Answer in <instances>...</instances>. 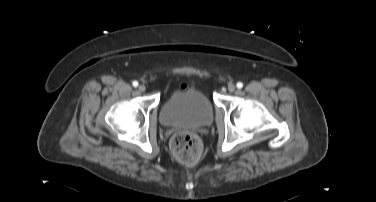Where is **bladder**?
Instances as JSON below:
<instances>
[{
	"instance_id": "obj_1",
	"label": "bladder",
	"mask_w": 376,
	"mask_h": 202,
	"mask_svg": "<svg viewBox=\"0 0 376 202\" xmlns=\"http://www.w3.org/2000/svg\"><path fill=\"white\" fill-rule=\"evenodd\" d=\"M213 119L211 100L196 88L175 91L160 110V121L166 127L199 129L209 126Z\"/></svg>"
}]
</instances>
